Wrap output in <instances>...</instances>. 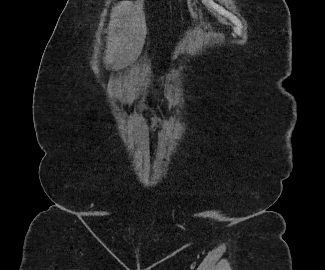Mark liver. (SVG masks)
I'll return each instance as SVG.
<instances>
[{
	"instance_id": "1",
	"label": "liver",
	"mask_w": 325,
	"mask_h": 270,
	"mask_svg": "<svg viewBox=\"0 0 325 270\" xmlns=\"http://www.w3.org/2000/svg\"><path fill=\"white\" fill-rule=\"evenodd\" d=\"M147 33L140 1L115 9L109 22L105 64L124 67L140 55Z\"/></svg>"
}]
</instances>
